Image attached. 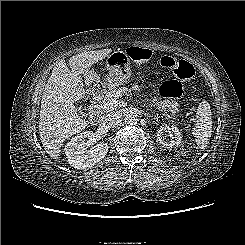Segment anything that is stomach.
Segmentation results:
<instances>
[{
  "instance_id": "0dacf381",
  "label": "stomach",
  "mask_w": 245,
  "mask_h": 245,
  "mask_svg": "<svg viewBox=\"0 0 245 245\" xmlns=\"http://www.w3.org/2000/svg\"><path fill=\"white\" fill-rule=\"evenodd\" d=\"M108 75L104 85L109 90H114L120 85L126 84L131 78L130 59L124 51H114L106 61ZM88 82L97 79V75L90 69L85 73Z\"/></svg>"
}]
</instances>
